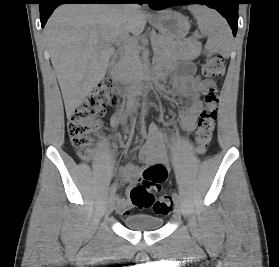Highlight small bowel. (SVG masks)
Masks as SVG:
<instances>
[{"mask_svg": "<svg viewBox=\"0 0 279 267\" xmlns=\"http://www.w3.org/2000/svg\"><path fill=\"white\" fill-rule=\"evenodd\" d=\"M172 65L156 68V74L162 75L164 72L173 71ZM195 65L191 62H185L180 70L176 72L173 79V92L176 96L185 99L186 103L181 107V125L187 132H191L197 122L198 114L201 110L202 103L200 95L209 87L212 82L203 80L195 75ZM126 121V115L121 114L113 119L112 126L117 129L119 124ZM140 160L149 166H158L164 169L165 179L168 172L167 147L162 139L156 125L152 124L149 127L147 138L140 149ZM120 177L130 186L135 184L140 178L139 169L131 162L127 163L119 172ZM163 181V182H164ZM129 192V189L128 191ZM134 207L130 200V196H120L117 199L116 210L121 214H129Z\"/></svg>", "mask_w": 279, "mask_h": 267, "instance_id": "small-bowel-1", "label": "small bowel"}]
</instances>
